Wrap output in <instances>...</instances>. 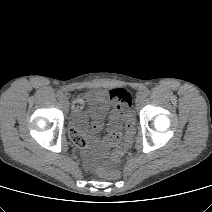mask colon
I'll use <instances>...</instances> for the list:
<instances>
[{"label": "colon", "mask_w": 212, "mask_h": 212, "mask_svg": "<svg viewBox=\"0 0 212 212\" xmlns=\"http://www.w3.org/2000/svg\"><path fill=\"white\" fill-rule=\"evenodd\" d=\"M110 98L117 104L120 112H126L131 107V95L128 91L122 88L113 89L110 91ZM134 133V121L129 118L127 121V135L125 141L114 151L113 162L118 164L125 152L130 147L132 137ZM72 140L79 146H84L85 142L81 141L74 135H71ZM98 175L103 178L116 179L119 177V171L116 168H99L97 171Z\"/></svg>", "instance_id": "colon-1"}]
</instances>
